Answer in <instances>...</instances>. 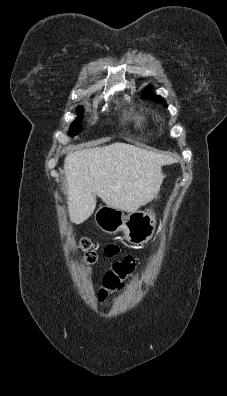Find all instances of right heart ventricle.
Wrapping results in <instances>:
<instances>
[{
  "label": "right heart ventricle",
  "mask_w": 227,
  "mask_h": 396,
  "mask_svg": "<svg viewBox=\"0 0 227 396\" xmlns=\"http://www.w3.org/2000/svg\"><path fill=\"white\" fill-rule=\"evenodd\" d=\"M133 118L138 125H143L147 122V117L140 112H135Z\"/></svg>",
  "instance_id": "1"
}]
</instances>
